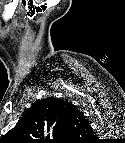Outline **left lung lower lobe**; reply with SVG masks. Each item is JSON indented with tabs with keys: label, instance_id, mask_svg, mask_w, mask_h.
I'll return each mask as SVG.
<instances>
[{
	"label": "left lung lower lobe",
	"instance_id": "1",
	"mask_svg": "<svg viewBox=\"0 0 125 143\" xmlns=\"http://www.w3.org/2000/svg\"><path fill=\"white\" fill-rule=\"evenodd\" d=\"M79 115V112L75 109V107L72 104H68L67 106V115L68 117H71L72 115Z\"/></svg>",
	"mask_w": 125,
	"mask_h": 143
}]
</instances>
